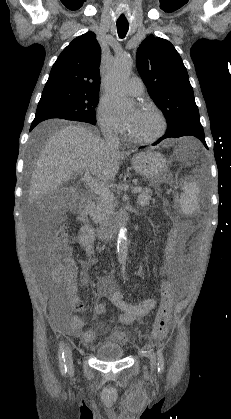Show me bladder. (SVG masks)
Instances as JSON below:
<instances>
[{
  "mask_svg": "<svg viewBox=\"0 0 231 419\" xmlns=\"http://www.w3.org/2000/svg\"><path fill=\"white\" fill-rule=\"evenodd\" d=\"M125 356L124 346L114 340L104 341L95 351V357L100 361H118Z\"/></svg>",
  "mask_w": 231,
  "mask_h": 419,
  "instance_id": "bladder-1",
  "label": "bladder"
}]
</instances>
